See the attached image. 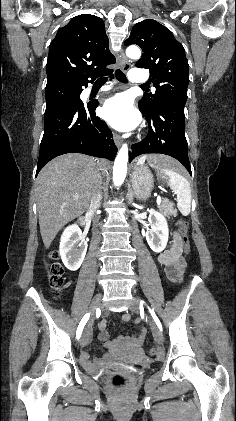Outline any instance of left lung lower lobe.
I'll list each match as a JSON object with an SVG mask.
<instances>
[{
    "label": "left lung lower lobe",
    "mask_w": 236,
    "mask_h": 421,
    "mask_svg": "<svg viewBox=\"0 0 236 421\" xmlns=\"http://www.w3.org/2000/svg\"><path fill=\"white\" fill-rule=\"evenodd\" d=\"M184 101L167 99L152 112H143L149 132L145 139L131 146L129 161L146 153L166 154L180 161L191 174L187 153V140L184 133Z\"/></svg>",
    "instance_id": "obj_1"
}]
</instances>
